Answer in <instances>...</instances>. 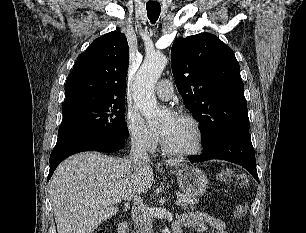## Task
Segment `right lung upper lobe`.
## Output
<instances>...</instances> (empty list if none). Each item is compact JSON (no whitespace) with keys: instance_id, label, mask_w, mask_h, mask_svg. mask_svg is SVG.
I'll return each instance as SVG.
<instances>
[{"instance_id":"cb5924a9","label":"right lung upper lobe","mask_w":306,"mask_h":233,"mask_svg":"<svg viewBox=\"0 0 306 233\" xmlns=\"http://www.w3.org/2000/svg\"><path fill=\"white\" fill-rule=\"evenodd\" d=\"M128 62L129 46L121 32L94 40L67 78L64 102L80 98L124 100Z\"/></svg>"}]
</instances>
